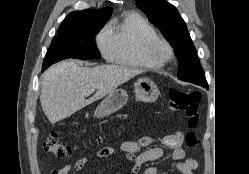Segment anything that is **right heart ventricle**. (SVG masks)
Masks as SVG:
<instances>
[{
  "label": "right heart ventricle",
  "instance_id": "obj_1",
  "mask_svg": "<svg viewBox=\"0 0 249 174\" xmlns=\"http://www.w3.org/2000/svg\"><path fill=\"white\" fill-rule=\"evenodd\" d=\"M113 40V51L110 61L114 64L157 70L161 67L142 54L144 43L158 37L153 26L140 14L127 13L119 20H114L109 26Z\"/></svg>",
  "mask_w": 249,
  "mask_h": 174
}]
</instances>
